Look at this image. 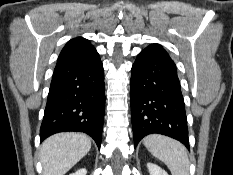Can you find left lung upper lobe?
Listing matches in <instances>:
<instances>
[{"mask_svg":"<svg viewBox=\"0 0 233 175\" xmlns=\"http://www.w3.org/2000/svg\"><path fill=\"white\" fill-rule=\"evenodd\" d=\"M153 45H156V46L162 47V46H161V45H159V44H153Z\"/></svg>","mask_w":233,"mask_h":175,"instance_id":"1","label":"left lung upper lobe"}]
</instances>
